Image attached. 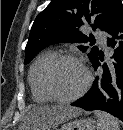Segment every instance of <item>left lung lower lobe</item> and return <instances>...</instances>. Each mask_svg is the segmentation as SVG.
<instances>
[{"instance_id": "left-lung-lower-lobe-1", "label": "left lung lower lobe", "mask_w": 123, "mask_h": 130, "mask_svg": "<svg viewBox=\"0 0 123 130\" xmlns=\"http://www.w3.org/2000/svg\"><path fill=\"white\" fill-rule=\"evenodd\" d=\"M107 45L113 49L112 61L101 64V53L91 62L94 69L102 66L90 91L72 105L87 111L103 110L123 121V10L111 31L108 32Z\"/></svg>"}]
</instances>
